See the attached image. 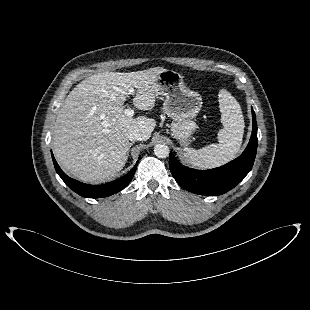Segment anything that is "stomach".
I'll return each mask as SVG.
<instances>
[{"label": "stomach", "instance_id": "stomach-1", "mask_svg": "<svg viewBox=\"0 0 310 310\" xmlns=\"http://www.w3.org/2000/svg\"><path fill=\"white\" fill-rule=\"evenodd\" d=\"M157 95L165 98L163 110L172 119L171 135L187 145L197 128L193 119L201 110V95L186 86L180 73L167 69L158 75Z\"/></svg>", "mask_w": 310, "mask_h": 310}]
</instances>
